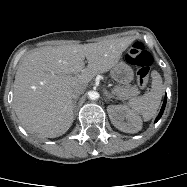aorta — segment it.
<instances>
[{
  "mask_svg": "<svg viewBox=\"0 0 187 187\" xmlns=\"http://www.w3.org/2000/svg\"><path fill=\"white\" fill-rule=\"evenodd\" d=\"M88 96H89V98H90L91 100H96V99L99 98V93L96 92V91H90V92L88 93Z\"/></svg>",
  "mask_w": 187,
  "mask_h": 187,
  "instance_id": "1",
  "label": "aorta"
}]
</instances>
